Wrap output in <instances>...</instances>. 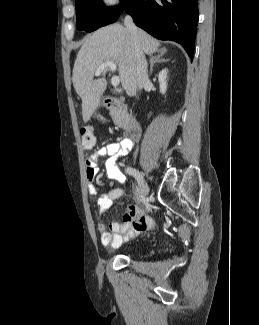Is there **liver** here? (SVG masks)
<instances>
[{"instance_id":"obj_1","label":"liver","mask_w":259,"mask_h":325,"mask_svg":"<svg viewBox=\"0 0 259 325\" xmlns=\"http://www.w3.org/2000/svg\"><path fill=\"white\" fill-rule=\"evenodd\" d=\"M141 48L147 55L158 51L160 42L138 30ZM134 44L128 29L118 23L102 27L88 35L80 48L73 68L72 82L82 100L83 121L88 122L100 104L106 89L105 78L94 80L98 67L112 61L118 65L119 77L127 95L134 96L137 77L133 65Z\"/></svg>"}]
</instances>
